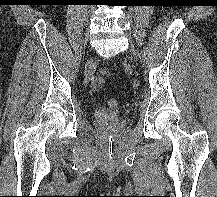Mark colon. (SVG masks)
Listing matches in <instances>:
<instances>
[{"instance_id": "colon-1", "label": "colon", "mask_w": 217, "mask_h": 197, "mask_svg": "<svg viewBox=\"0 0 217 197\" xmlns=\"http://www.w3.org/2000/svg\"><path fill=\"white\" fill-rule=\"evenodd\" d=\"M108 104L110 107L115 108V107L119 106V100L116 98H110L108 100Z\"/></svg>"}]
</instances>
